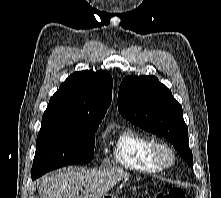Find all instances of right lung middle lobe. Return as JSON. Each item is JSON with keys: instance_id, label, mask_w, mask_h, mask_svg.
<instances>
[{"instance_id": "right-lung-middle-lobe-1", "label": "right lung middle lobe", "mask_w": 221, "mask_h": 198, "mask_svg": "<svg viewBox=\"0 0 221 198\" xmlns=\"http://www.w3.org/2000/svg\"><path fill=\"white\" fill-rule=\"evenodd\" d=\"M97 128L82 132L40 130L31 171L32 179L59 167L90 162L94 158Z\"/></svg>"}]
</instances>
